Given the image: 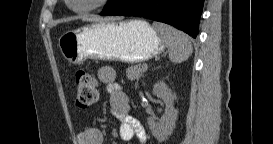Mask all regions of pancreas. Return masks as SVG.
<instances>
[{"instance_id":"cf45deb5","label":"pancreas","mask_w":273,"mask_h":144,"mask_svg":"<svg viewBox=\"0 0 273 144\" xmlns=\"http://www.w3.org/2000/svg\"><path fill=\"white\" fill-rule=\"evenodd\" d=\"M145 68L140 65H132L126 69L127 78L131 81L138 80L142 73L145 72Z\"/></svg>"}]
</instances>
